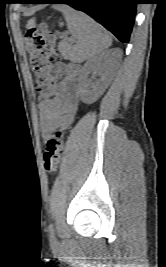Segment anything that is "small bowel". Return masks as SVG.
<instances>
[{
	"label": "small bowel",
	"instance_id": "obj_1",
	"mask_svg": "<svg viewBox=\"0 0 166 267\" xmlns=\"http://www.w3.org/2000/svg\"><path fill=\"white\" fill-rule=\"evenodd\" d=\"M58 70L64 73L59 92L39 108L42 137L45 140L50 138L56 129L70 125L78 107V97L75 91L78 68L59 64Z\"/></svg>",
	"mask_w": 166,
	"mask_h": 267
}]
</instances>
